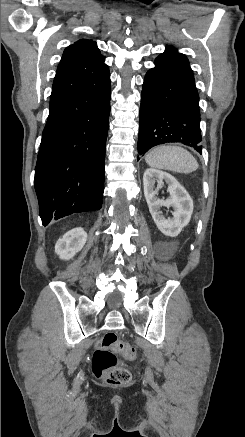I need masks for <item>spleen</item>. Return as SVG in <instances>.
I'll return each instance as SVG.
<instances>
[{
  "label": "spleen",
  "instance_id": "spleen-1",
  "mask_svg": "<svg viewBox=\"0 0 245 437\" xmlns=\"http://www.w3.org/2000/svg\"><path fill=\"white\" fill-rule=\"evenodd\" d=\"M145 161L152 168L185 174L195 171L199 166L195 157L186 149L170 145L153 148L146 154Z\"/></svg>",
  "mask_w": 245,
  "mask_h": 437
}]
</instances>
